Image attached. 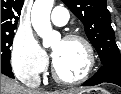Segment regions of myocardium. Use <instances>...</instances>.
I'll return each mask as SVG.
<instances>
[{
    "label": "myocardium",
    "mask_w": 121,
    "mask_h": 94,
    "mask_svg": "<svg viewBox=\"0 0 121 94\" xmlns=\"http://www.w3.org/2000/svg\"><path fill=\"white\" fill-rule=\"evenodd\" d=\"M63 40L64 41H78L83 44L87 53L86 68L82 75L75 77V78L67 79V78L62 77L59 74L58 69L56 67V63L53 60L52 68H51L52 76L55 79V81L63 85H75V84L82 83L90 77L95 67L96 58H95L93 46L84 36L79 35V34H68L63 38Z\"/></svg>",
    "instance_id": "1"
}]
</instances>
